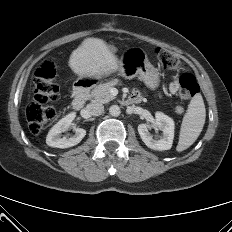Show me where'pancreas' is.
<instances>
[{"label":"pancreas","instance_id":"obj_1","mask_svg":"<svg viewBox=\"0 0 232 232\" xmlns=\"http://www.w3.org/2000/svg\"><path fill=\"white\" fill-rule=\"evenodd\" d=\"M118 80H113L105 83L99 87L94 88L88 95V98L92 102L108 103L115 99V96L111 94L110 90L113 86L118 84Z\"/></svg>","mask_w":232,"mask_h":232}]
</instances>
